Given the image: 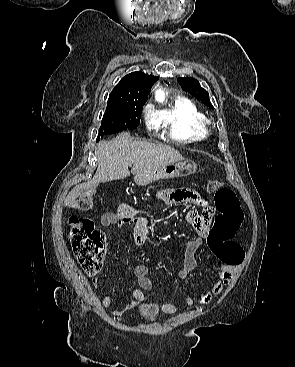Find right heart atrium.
<instances>
[{"label":"right heart atrium","mask_w":295,"mask_h":367,"mask_svg":"<svg viewBox=\"0 0 295 367\" xmlns=\"http://www.w3.org/2000/svg\"><path fill=\"white\" fill-rule=\"evenodd\" d=\"M145 120H146V124H147L149 129H156L157 128L154 117H153V115H152V113L149 109H147L146 112H145Z\"/></svg>","instance_id":"obj_1"}]
</instances>
